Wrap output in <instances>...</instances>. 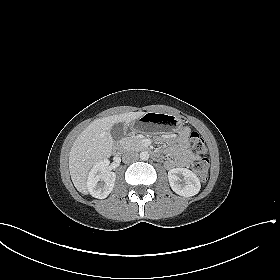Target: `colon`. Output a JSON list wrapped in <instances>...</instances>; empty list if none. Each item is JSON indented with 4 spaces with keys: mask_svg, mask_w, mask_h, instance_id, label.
I'll list each match as a JSON object with an SVG mask.
<instances>
[{
    "mask_svg": "<svg viewBox=\"0 0 280 280\" xmlns=\"http://www.w3.org/2000/svg\"><path fill=\"white\" fill-rule=\"evenodd\" d=\"M188 139L192 151L198 154L206 153V144L198 132L189 130ZM193 170L202 181L206 180L209 171V161L206 158L200 159L193 165Z\"/></svg>",
    "mask_w": 280,
    "mask_h": 280,
    "instance_id": "5ec220e1",
    "label": "colon"
}]
</instances>
